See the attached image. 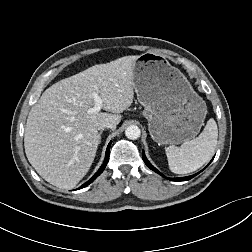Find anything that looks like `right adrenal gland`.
Returning a JSON list of instances; mask_svg holds the SVG:
<instances>
[{
    "label": "right adrenal gland",
    "mask_w": 252,
    "mask_h": 252,
    "mask_svg": "<svg viewBox=\"0 0 252 252\" xmlns=\"http://www.w3.org/2000/svg\"><path fill=\"white\" fill-rule=\"evenodd\" d=\"M103 130L100 131V135L102 134Z\"/></svg>",
    "instance_id": "2a0ac1e0"
}]
</instances>
